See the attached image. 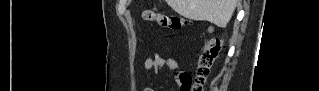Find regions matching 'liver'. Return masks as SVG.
I'll return each mask as SVG.
<instances>
[{
	"label": "liver",
	"mask_w": 319,
	"mask_h": 91,
	"mask_svg": "<svg viewBox=\"0 0 319 91\" xmlns=\"http://www.w3.org/2000/svg\"><path fill=\"white\" fill-rule=\"evenodd\" d=\"M171 8L181 16L208 21L224 28L230 21L238 0H166Z\"/></svg>",
	"instance_id": "obj_1"
}]
</instances>
